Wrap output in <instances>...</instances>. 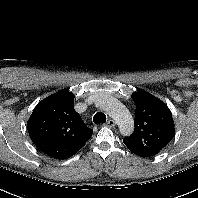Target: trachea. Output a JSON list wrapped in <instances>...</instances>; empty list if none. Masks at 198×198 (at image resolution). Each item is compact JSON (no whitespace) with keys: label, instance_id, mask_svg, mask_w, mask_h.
I'll use <instances>...</instances> for the list:
<instances>
[{"label":"trachea","instance_id":"3493384b","mask_svg":"<svg viewBox=\"0 0 198 198\" xmlns=\"http://www.w3.org/2000/svg\"><path fill=\"white\" fill-rule=\"evenodd\" d=\"M93 122L95 124H100L106 122V115L102 112H97L93 117Z\"/></svg>","mask_w":198,"mask_h":198}]
</instances>
